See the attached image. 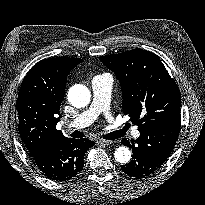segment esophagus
Segmentation results:
<instances>
[{
	"label": "esophagus",
	"instance_id": "34e87169",
	"mask_svg": "<svg viewBox=\"0 0 205 205\" xmlns=\"http://www.w3.org/2000/svg\"><path fill=\"white\" fill-rule=\"evenodd\" d=\"M99 142L103 145H110L113 143V141L110 140H104V139H99Z\"/></svg>",
	"mask_w": 205,
	"mask_h": 205
}]
</instances>
